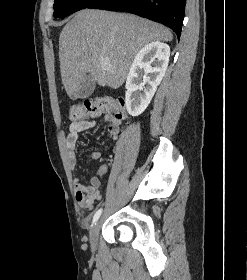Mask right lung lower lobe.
I'll use <instances>...</instances> for the list:
<instances>
[{
	"mask_svg": "<svg viewBox=\"0 0 247 280\" xmlns=\"http://www.w3.org/2000/svg\"><path fill=\"white\" fill-rule=\"evenodd\" d=\"M186 0H97L88 8L133 13L170 27L180 38Z\"/></svg>",
	"mask_w": 247,
	"mask_h": 280,
	"instance_id": "1",
	"label": "right lung lower lobe"
}]
</instances>
